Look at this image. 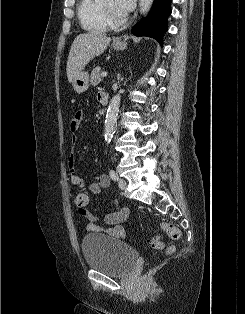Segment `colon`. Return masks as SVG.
<instances>
[{"label": "colon", "mask_w": 245, "mask_h": 314, "mask_svg": "<svg viewBox=\"0 0 245 314\" xmlns=\"http://www.w3.org/2000/svg\"><path fill=\"white\" fill-rule=\"evenodd\" d=\"M89 202V193L87 191H81L77 193L74 197V203L78 207L79 212H83L86 210V206ZM162 229L170 236L172 240H179L181 238V233L179 229L171 223L163 222L161 224ZM150 245L155 250H161L164 248V243L160 237V235H155L151 241ZM172 247L167 249V252L172 251Z\"/></svg>", "instance_id": "1"}]
</instances>
